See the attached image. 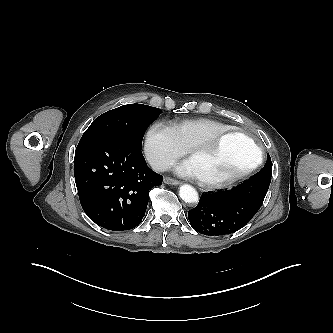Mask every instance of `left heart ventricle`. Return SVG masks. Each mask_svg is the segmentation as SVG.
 Returning a JSON list of instances; mask_svg holds the SVG:
<instances>
[{
	"label": "left heart ventricle",
	"instance_id": "b2bd125f",
	"mask_svg": "<svg viewBox=\"0 0 333 333\" xmlns=\"http://www.w3.org/2000/svg\"><path fill=\"white\" fill-rule=\"evenodd\" d=\"M257 152L252 142L241 134L225 137L211 151L190 158L197 177L209 180L226 178L249 166Z\"/></svg>",
	"mask_w": 333,
	"mask_h": 333
}]
</instances>
